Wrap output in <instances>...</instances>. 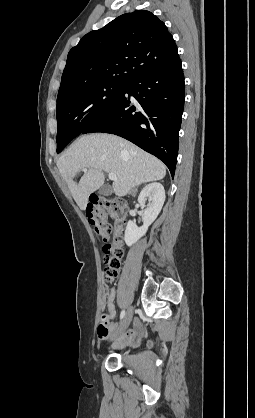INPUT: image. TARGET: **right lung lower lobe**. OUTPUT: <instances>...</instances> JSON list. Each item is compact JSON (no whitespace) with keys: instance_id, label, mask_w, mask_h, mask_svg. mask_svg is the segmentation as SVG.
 Here are the masks:
<instances>
[{"instance_id":"1","label":"right lung lower lobe","mask_w":255,"mask_h":418,"mask_svg":"<svg viewBox=\"0 0 255 418\" xmlns=\"http://www.w3.org/2000/svg\"><path fill=\"white\" fill-rule=\"evenodd\" d=\"M184 98V75L178 58L132 79L110 110L82 134L121 136L162 160L173 177Z\"/></svg>"}]
</instances>
